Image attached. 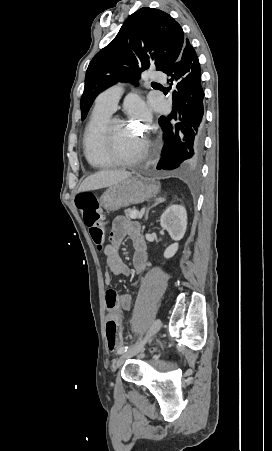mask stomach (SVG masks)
I'll use <instances>...</instances> for the list:
<instances>
[{
	"instance_id": "1",
	"label": "stomach",
	"mask_w": 272,
	"mask_h": 451,
	"mask_svg": "<svg viewBox=\"0 0 272 451\" xmlns=\"http://www.w3.org/2000/svg\"><path fill=\"white\" fill-rule=\"evenodd\" d=\"M160 190L159 182H144L143 178L130 176L118 184L108 186L106 192L100 198V204L104 210L115 212L120 208H126L130 204H141L148 198H155Z\"/></svg>"
}]
</instances>
